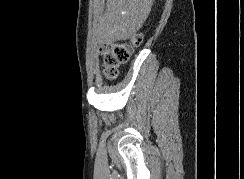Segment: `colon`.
I'll list each match as a JSON object with an SVG mask.
<instances>
[{"label": "colon", "instance_id": "obj_1", "mask_svg": "<svg viewBox=\"0 0 244 179\" xmlns=\"http://www.w3.org/2000/svg\"><path fill=\"white\" fill-rule=\"evenodd\" d=\"M142 41L141 36H136L131 44L113 43L102 48L104 74L108 79H113L118 74V67L128 62L131 47L138 46Z\"/></svg>", "mask_w": 244, "mask_h": 179}]
</instances>
